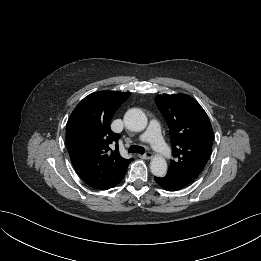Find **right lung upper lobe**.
Returning a JSON list of instances; mask_svg holds the SVG:
<instances>
[{
	"instance_id": "obj_1",
	"label": "right lung upper lobe",
	"mask_w": 261,
	"mask_h": 261,
	"mask_svg": "<svg viewBox=\"0 0 261 261\" xmlns=\"http://www.w3.org/2000/svg\"><path fill=\"white\" fill-rule=\"evenodd\" d=\"M131 93L94 92L73 110L66 126V143L71 162L83 181L107 190L125 176L131 159L119 154V135L110 128L114 113Z\"/></svg>"
}]
</instances>
